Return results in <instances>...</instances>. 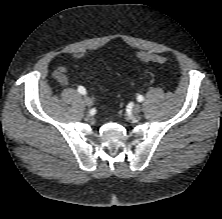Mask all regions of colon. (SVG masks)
Returning a JSON list of instances; mask_svg holds the SVG:
<instances>
[{"mask_svg":"<svg viewBox=\"0 0 222 219\" xmlns=\"http://www.w3.org/2000/svg\"><path fill=\"white\" fill-rule=\"evenodd\" d=\"M138 58L141 62L144 63H157V64H165L168 62V58L154 53H140Z\"/></svg>","mask_w":222,"mask_h":219,"instance_id":"1","label":"colon"}]
</instances>
